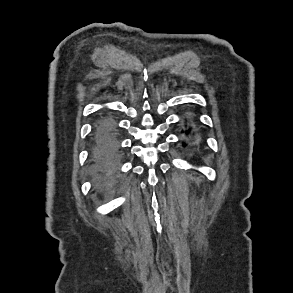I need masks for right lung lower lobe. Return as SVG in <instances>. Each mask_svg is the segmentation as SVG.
<instances>
[{"label":"right lung lower lobe","instance_id":"98d812e1","mask_svg":"<svg viewBox=\"0 0 293 293\" xmlns=\"http://www.w3.org/2000/svg\"><path fill=\"white\" fill-rule=\"evenodd\" d=\"M117 125L114 118L105 113L95 124L94 138L97 148L105 153H113L118 145Z\"/></svg>","mask_w":293,"mask_h":293}]
</instances>
